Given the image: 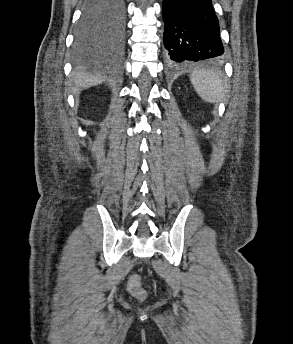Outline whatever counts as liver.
<instances>
[{"label":"liver","instance_id":"6515ba94","mask_svg":"<svg viewBox=\"0 0 293 344\" xmlns=\"http://www.w3.org/2000/svg\"><path fill=\"white\" fill-rule=\"evenodd\" d=\"M104 78L100 75H92L84 71H78L74 74V83L78 88H88L100 84Z\"/></svg>","mask_w":293,"mask_h":344}]
</instances>
